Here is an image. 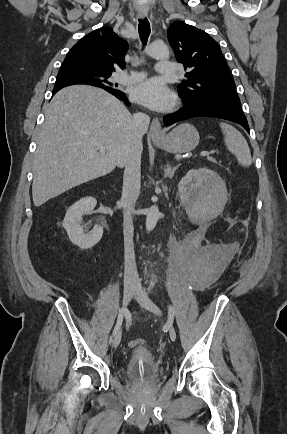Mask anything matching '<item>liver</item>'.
I'll list each match as a JSON object with an SVG mask.
<instances>
[{
	"mask_svg": "<svg viewBox=\"0 0 287 434\" xmlns=\"http://www.w3.org/2000/svg\"><path fill=\"white\" fill-rule=\"evenodd\" d=\"M133 117L116 97L84 85L58 91L45 111L34 157L33 203L124 167L136 147ZM95 143L105 147L100 152ZM142 153V142L137 145Z\"/></svg>",
	"mask_w": 287,
	"mask_h": 434,
	"instance_id": "liver-1",
	"label": "liver"
}]
</instances>
